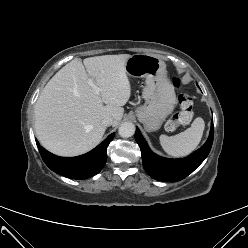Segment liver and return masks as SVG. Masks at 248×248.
I'll return each mask as SVG.
<instances>
[{"mask_svg":"<svg viewBox=\"0 0 248 248\" xmlns=\"http://www.w3.org/2000/svg\"><path fill=\"white\" fill-rule=\"evenodd\" d=\"M130 57L75 58L51 78L35 104V132L44 148L59 156L81 155L100 143L104 117L118 124L131 95L125 70ZM90 78L99 94L88 84Z\"/></svg>","mask_w":248,"mask_h":248,"instance_id":"obj_1","label":"liver"}]
</instances>
